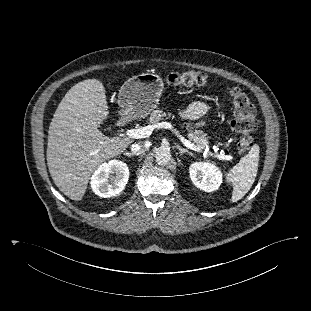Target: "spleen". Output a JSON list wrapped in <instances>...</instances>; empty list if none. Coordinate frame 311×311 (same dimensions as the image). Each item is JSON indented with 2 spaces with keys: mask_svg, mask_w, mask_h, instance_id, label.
Instances as JSON below:
<instances>
[{
  "mask_svg": "<svg viewBox=\"0 0 311 311\" xmlns=\"http://www.w3.org/2000/svg\"><path fill=\"white\" fill-rule=\"evenodd\" d=\"M259 152V146L254 144L249 153L226 174L227 182L233 186L232 202L242 199L252 187L258 171Z\"/></svg>",
  "mask_w": 311,
  "mask_h": 311,
  "instance_id": "3e777b00",
  "label": "spleen"
}]
</instances>
